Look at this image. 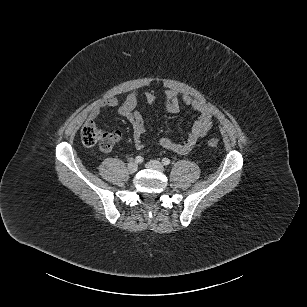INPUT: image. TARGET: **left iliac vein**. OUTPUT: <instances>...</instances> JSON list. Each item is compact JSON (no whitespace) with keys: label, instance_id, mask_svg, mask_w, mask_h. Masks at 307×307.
Instances as JSON below:
<instances>
[{"label":"left iliac vein","instance_id":"obj_1","mask_svg":"<svg viewBox=\"0 0 307 307\" xmlns=\"http://www.w3.org/2000/svg\"><path fill=\"white\" fill-rule=\"evenodd\" d=\"M146 167L149 169H155L158 171L163 172L164 171V166L161 164V162L157 160H151L146 164Z\"/></svg>","mask_w":307,"mask_h":307}]
</instances>
